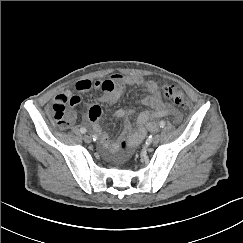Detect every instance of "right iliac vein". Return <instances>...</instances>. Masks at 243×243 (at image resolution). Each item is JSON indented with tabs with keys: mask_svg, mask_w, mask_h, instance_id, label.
Returning <instances> with one entry per match:
<instances>
[{
	"mask_svg": "<svg viewBox=\"0 0 243 243\" xmlns=\"http://www.w3.org/2000/svg\"><path fill=\"white\" fill-rule=\"evenodd\" d=\"M83 139H84V141H85L86 143H90V142L92 141L91 137H90L89 135H87V134H85V135L83 136Z\"/></svg>",
	"mask_w": 243,
	"mask_h": 243,
	"instance_id": "obj_1",
	"label": "right iliac vein"
}]
</instances>
